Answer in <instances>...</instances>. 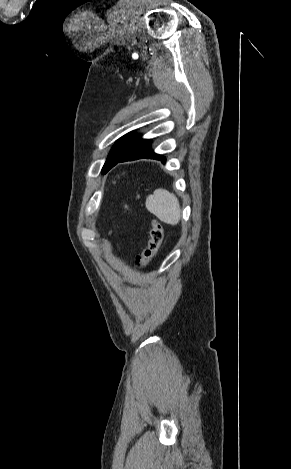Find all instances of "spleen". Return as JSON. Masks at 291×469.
I'll list each match as a JSON object with an SVG mask.
<instances>
[{"label":"spleen","instance_id":"3e777b00","mask_svg":"<svg viewBox=\"0 0 291 469\" xmlns=\"http://www.w3.org/2000/svg\"><path fill=\"white\" fill-rule=\"evenodd\" d=\"M146 208L164 223L174 226L180 221L179 201L167 190L156 189L153 195L147 197Z\"/></svg>","mask_w":291,"mask_h":469}]
</instances>
